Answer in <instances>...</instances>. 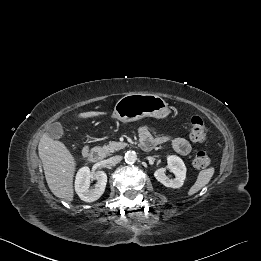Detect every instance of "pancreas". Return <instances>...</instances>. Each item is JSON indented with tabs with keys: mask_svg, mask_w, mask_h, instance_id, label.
Listing matches in <instances>:
<instances>
[{
	"mask_svg": "<svg viewBox=\"0 0 261 261\" xmlns=\"http://www.w3.org/2000/svg\"><path fill=\"white\" fill-rule=\"evenodd\" d=\"M126 146V143L112 141L103 148L107 153H113L115 151L121 150Z\"/></svg>",
	"mask_w": 261,
	"mask_h": 261,
	"instance_id": "cf45deb5",
	"label": "pancreas"
}]
</instances>
